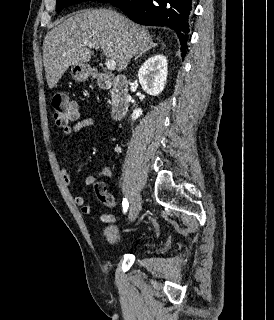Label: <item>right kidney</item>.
<instances>
[{
	"label": "right kidney",
	"mask_w": 274,
	"mask_h": 320,
	"mask_svg": "<svg viewBox=\"0 0 274 320\" xmlns=\"http://www.w3.org/2000/svg\"><path fill=\"white\" fill-rule=\"evenodd\" d=\"M168 62L162 54H154L142 64L138 72V80L141 88L149 94V96H158L164 90L167 80ZM142 116L141 108H135L131 114V120H138Z\"/></svg>",
	"instance_id": "ca27d5eb"
}]
</instances>
